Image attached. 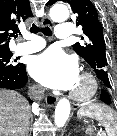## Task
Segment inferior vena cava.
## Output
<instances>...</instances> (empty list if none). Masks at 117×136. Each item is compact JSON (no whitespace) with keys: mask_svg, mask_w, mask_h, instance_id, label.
<instances>
[{"mask_svg":"<svg viewBox=\"0 0 117 136\" xmlns=\"http://www.w3.org/2000/svg\"><path fill=\"white\" fill-rule=\"evenodd\" d=\"M29 95L34 100H42L44 98V89L40 86H33L29 90Z\"/></svg>","mask_w":117,"mask_h":136,"instance_id":"inferior-vena-cava-1","label":"inferior vena cava"}]
</instances>
